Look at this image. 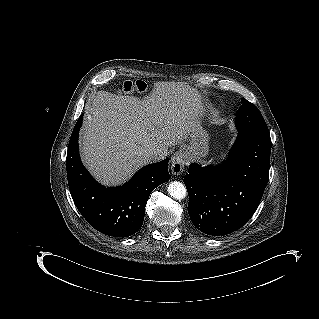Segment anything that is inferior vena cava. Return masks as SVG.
Listing matches in <instances>:
<instances>
[{"instance_id": "602c4592", "label": "inferior vena cava", "mask_w": 319, "mask_h": 319, "mask_svg": "<svg viewBox=\"0 0 319 319\" xmlns=\"http://www.w3.org/2000/svg\"><path fill=\"white\" fill-rule=\"evenodd\" d=\"M147 156L149 162H157L163 160L167 156V153L157 150L147 153Z\"/></svg>"}]
</instances>
